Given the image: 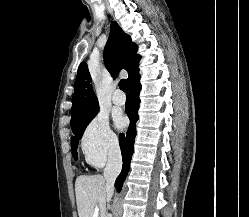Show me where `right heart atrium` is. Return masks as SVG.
Masks as SVG:
<instances>
[{
  "label": "right heart atrium",
  "mask_w": 249,
  "mask_h": 217,
  "mask_svg": "<svg viewBox=\"0 0 249 217\" xmlns=\"http://www.w3.org/2000/svg\"><path fill=\"white\" fill-rule=\"evenodd\" d=\"M81 149L86 162L96 168L117 151L118 141L107 117L98 114L90 120L81 137Z\"/></svg>",
  "instance_id": "obj_1"
}]
</instances>
